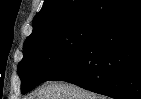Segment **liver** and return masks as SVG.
Masks as SVG:
<instances>
[{
    "mask_svg": "<svg viewBox=\"0 0 141 99\" xmlns=\"http://www.w3.org/2000/svg\"><path fill=\"white\" fill-rule=\"evenodd\" d=\"M28 99H106L76 85L66 82H50L38 88Z\"/></svg>",
    "mask_w": 141,
    "mask_h": 99,
    "instance_id": "liver-1",
    "label": "liver"
}]
</instances>
